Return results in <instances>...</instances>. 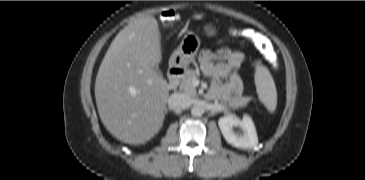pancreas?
I'll return each instance as SVG.
<instances>
[{
  "instance_id": "pancreas-1",
  "label": "pancreas",
  "mask_w": 365,
  "mask_h": 180,
  "mask_svg": "<svg viewBox=\"0 0 365 180\" xmlns=\"http://www.w3.org/2000/svg\"><path fill=\"white\" fill-rule=\"evenodd\" d=\"M195 78L196 72L194 70H187L180 80V90L191 97H195L197 95L196 87L192 83ZM248 101L249 98L247 97H238L232 99L229 102V105L233 108L244 107Z\"/></svg>"
}]
</instances>
